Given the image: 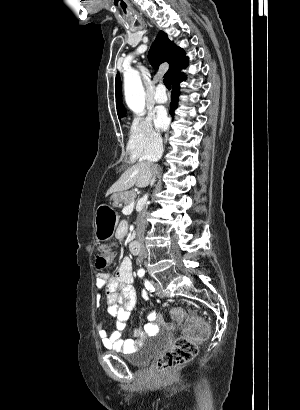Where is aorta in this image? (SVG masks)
Segmentation results:
<instances>
[{
    "label": "aorta",
    "instance_id": "1",
    "mask_svg": "<svg viewBox=\"0 0 300 410\" xmlns=\"http://www.w3.org/2000/svg\"><path fill=\"white\" fill-rule=\"evenodd\" d=\"M124 92L128 107L136 114H142L145 108V91L140 74L131 69L124 73Z\"/></svg>",
    "mask_w": 300,
    "mask_h": 410
}]
</instances>
